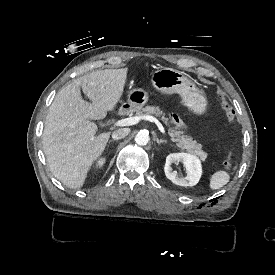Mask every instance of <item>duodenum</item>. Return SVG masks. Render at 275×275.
Wrapping results in <instances>:
<instances>
[{"label":"duodenum","instance_id":"duodenum-1","mask_svg":"<svg viewBox=\"0 0 275 275\" xmlns=\"http://www.w3.org/2000/svg\"><path fill=\"white\" fill-rule=\"evenodd\" d=\"M130 108H131V106H129V105H123L119 108L117 113L119 116H123L130 110Z\"/></svg>","mask_w":275,"mask_h":275}]
</instances>
